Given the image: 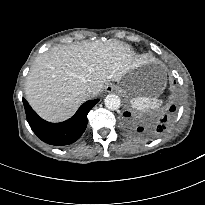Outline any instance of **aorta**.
<instances>
[{"label":"aorta","instance_id":"obj_1","mask_svg":"<svg viewBox=\"0 0 205 205\" xmlns=\"http://www.w3.org/2000/svg\"><path fill=\"white\" fill-rule=\"evenodd\" d=\"M104 104L110 110H117L120 107L121 101L116 94H108L104 99Z\"/></svg>","mask_w":205,"mask_h":205}]
</instances>
